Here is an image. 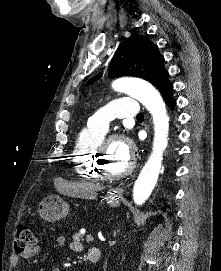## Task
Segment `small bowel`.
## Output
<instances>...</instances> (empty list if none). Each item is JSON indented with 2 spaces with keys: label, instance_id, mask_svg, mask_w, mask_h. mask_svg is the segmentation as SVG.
<instances>
[{
  "label": "small bowel",
  "instance_id": "c3829d8e",
  "mask_svg": "<svg viewBox=\"0 0 221 271\" xmlns=\"http://www.w3.org/2000/svg\"><path fill=\"white\" fill-rule=\"evenodd\" d=\"M55 244L58 248H62L66 245V239L63 236H59L55 240ZM69 247L74 252H82L84 251V247L82 243L78 240H74L70 242ZM93 249L89 251L88 256H90ZM40 247L39 246H31L23 250L20 254H13L10 258V263L12 266H17L20 262V258L29 259L34 257L35 255L39 254ZM55 271H59V269H56Z\"/></svg>",
  "mask_w": 221,
  "mask_h": 271
}]
</instances>
